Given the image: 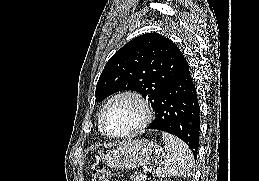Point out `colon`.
<instances>
[{
  "label": "colon",
  "mask_w": 259,
  "mask_h": 181,
  "mask_svg": "<svg viewBox=\"0 0 259 181\" xmlns=\"http://www.w3.org/2000/svg\"><path fill=\"white\" fill-rule=\"evenodd\" d=\"M91 181H111V176L104 167H98L93 170Z\"/></svg>",
  "instance_id": "colon-1"
}]
</instances>
